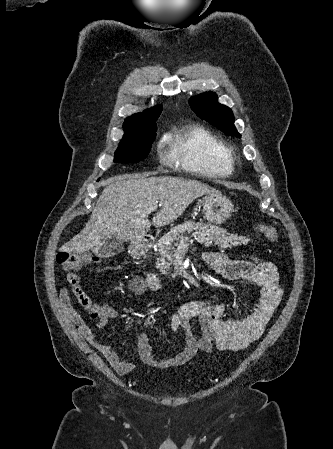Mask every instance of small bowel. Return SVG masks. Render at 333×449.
I'll use <instances>...</instances> for the list:
<instances>
[{"mask_svg": "<svg viewBox=\"0 0 333 449\" xmlns=\"http://www.w3.org/2000/svg\"><path fill=\"white\" fill-rule=\"evenodd\" d=\"M205 264L224 277L243 281L250 287L259 290L260 299L256 308L242 318L225 320V307L222 303L210 301H187L172 317L171 330L184 332V347L174 354L163 358L153 355L149 337L145 333L132 336L138 350V361L154 369H166L182 365L192 359L199 351L210 353L214 347L221 350L237 351L246 348L264 332L274 310L281 302L283 289L279 274L270 262L258 258L251 260H228L221 252H206L203 255ZM66 280L69 287L59 292L60 305L69 320L78 327L83 338L99 350L119 375H126L134 370L136 361H122L113 348L100 341L73 308L69 296L71 292L87 311H98L102 321L117 317V312L110 307L102 308L93 302L83 290L80 278L74 271L68 272ZM199 319L201 334L196 337L191 330V321Z\"/></svg>", "mask_w": 333, "mask_h": 449, "instance_id": "small-bowel-1", "label": "small bowel"}]
</instances>
